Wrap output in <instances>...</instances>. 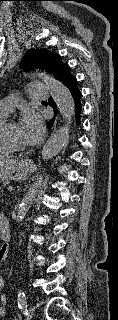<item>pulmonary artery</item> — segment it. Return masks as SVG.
I'll use <instances>...</instances> for the list:
<instances>
[{"mask_svg":"<svg viewBox=\"0 0 118 320\" xmlns=\"http://www.w3.org/2000/svg\"><path fill=\"white\" fill-rule=\"evenodd\" d=\"M27 94L34 101L46 100L49 97L47 86L43 83H32L27 87ZM18 100L14 97L0 101V112L7 116Z\"/></svg>","mask_w":118,"mask_h":320,"instance_id":"1","label":"pulmonary artery"}]
</instances>
